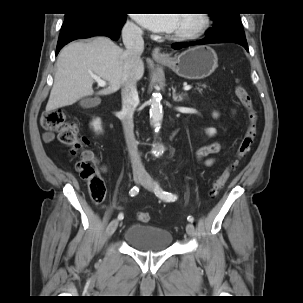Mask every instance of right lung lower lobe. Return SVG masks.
<instances>
[{
    "instance_id": "right-lung-lower-lobe-1",
    "label": "right lung lower lobe",
    "mask_w": 303,
    "mask_h": 303,
    "mask_svg": "<svg viewBox=\"0 0 303 303\" xmlns=\"http://www.w3.org/2000/svg\"><path fill=\"white\" fill-rule=\"evenodd\" d=\"M125 19V15L101 14L90 11L67 14L61 27L56 55L62 47L76 39L105 35L117 40Z\"/></svg>"
}]
</instances>
